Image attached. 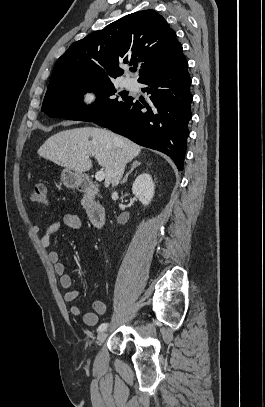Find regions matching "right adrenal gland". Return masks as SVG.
Instances as JSON below:
<instances>
[{
  "instance_id": "right-adrenal-gland-1",
  "label": "right adrenal gland",
  "mask_w": 265,
  "mask_h": 407,
  "mask_svg": "<svg viewBox=\"0 0 265 407\" xmlns=\"http://www.w3.org/2000/svg\"><path fill=\"white\" fill-rule=\"evenodd\" d=\"M141 164V162L138 161H134L131 165L130 170L126 173V175L124 176L123 180L121 181V184L126 183L128 176L132 173V171Z\"/></svg>"
}]
</instances>
